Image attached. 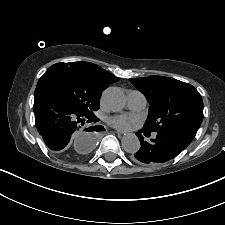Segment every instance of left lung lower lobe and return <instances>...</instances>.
<instances>
[{
	"label": "left lung lower lobe",
	"mask_w": 225,
	"mask_h": 225,
	"mask_svg": "<svg viewBox=\"0 0 225 225\" xmlns=\"http://www.w3.org/2000/svg\"><path fill=\"white\" fill-rule=\"evenodd\" d=\"M199 127L184 126L156 133V138L147 142L143 135L150 136V132L141 129L136 134L141 142L140 149L134 154L136 162L145 165H159L175 158L194 139Z\"/></svg>",
	"instance_id": "left-lung-lower-lobe-1"
}]
</instances>
